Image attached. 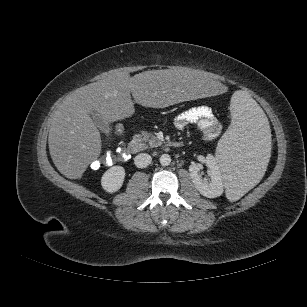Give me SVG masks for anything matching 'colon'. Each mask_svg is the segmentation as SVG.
<instances>
[{
  "instance_id": "colon-1",
  "label": "colon",
  "mask_w": 307,
  "mask_h": 307,
  "mask_svg": "<svg viewBox=\"0 0 307 307\" xmlns=\"http://www.w3.org/2000/svg\"><path fill=\"white\" fill-rule=\"evenodd\" d=\"M115 133L118 136H124L125 129L122 125L118 124L115 127ZM127 145L121 141L113 150L107 151L91 162V168L99 169L104 166H113L126 158Z\"/></svg>"
}]
</instances>
